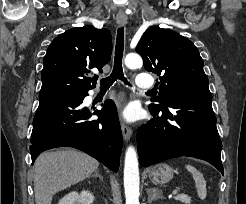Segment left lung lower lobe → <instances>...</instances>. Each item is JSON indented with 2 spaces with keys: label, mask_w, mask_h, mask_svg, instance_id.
Masks as SVG:
<instances>
[{
  "label": "left lung lower lobe",
  "mask_w": 246,
  "mask_h": 204,
  "mask_svg": "<svg viewBox=\"0 0 246 204\" xmlns=\"http://www.w3.org/2000/svg\"><path fill=\"white\" fill-rule=\"evenodd\" d=\"M137 133L139 162L147 167L167 159L189 156L205 160L222 174V142L211 100L171 99Z\"/></svg>",
  "instance_id": "0a47b994"
}]
</instances>
